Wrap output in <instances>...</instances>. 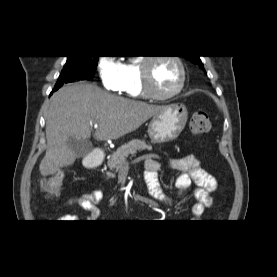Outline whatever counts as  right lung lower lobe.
Instances as JSON below:
<instances>
[{"instance_id":"98d812e1","label":"right lung lower lobe","mask_w":277,"mask_h":277,"mask_svg":"<svg viewBox=\"0 0 277 277\" xmlns=\"http://www.w3.org/2000/svg\"><path fill=\"white\" fill-rule=\"evenodd\" d=\"M65 82H64V80H59L57 83H56V85H55V87H54V91H56L61 85H63ZM53 92H51V94H52Z\"/></svg>"}]
</instances>
